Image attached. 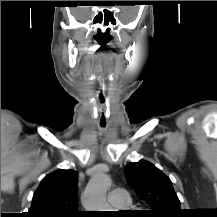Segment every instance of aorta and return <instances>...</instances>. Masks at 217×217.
Masks as SVG:
<instances>
[{
	"mask_svg": "<svg viewBox=\"0 0 217 217\" xmlns=\"http://www.w3.org/2000/svg\"><path fill=\"white\" fill-rule=\"evenodd\" d=\"M110 186V178L102 171L96 172L91 177L82 195L86 211H111L106 201V193Z\"/></svg>",
	"mask_w": 217,
	"mask_h": 217,
	"instance_id": "obj_1",
	"label": "aorta"
}]
</instances>
